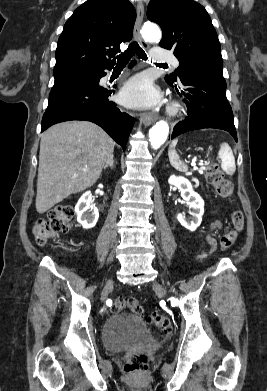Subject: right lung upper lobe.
Here are the masks:
<instances>
[{"instance_id":"right-lung-upper-lobe-1","label":"right lung upper lobe","mask_w":267,"mask_h":391,"mask_svg":"<svg viewBox=\"0 0 267 391\" xmlns=\"http://www.w3.org/2000/svg\"><path fill=\"white\" fill-rule=\"evenodd\" d=\"M136 11L128 0H88L65 23L54 77L112 67L120 44L132 38Z\"/></svg>"}]
</instances>
